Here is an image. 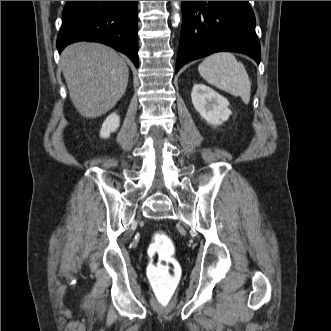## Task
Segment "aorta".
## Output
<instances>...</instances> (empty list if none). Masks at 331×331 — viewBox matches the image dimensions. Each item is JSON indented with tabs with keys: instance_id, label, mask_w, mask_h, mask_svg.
Here are the masks:
<instances>
[{
	"instance_id": "obj_1",
	"label": "aorta",
	"mask_w": 331,
	"mask_h": 331,
	"mask_svg": "<svg viewBox=\"0 0 331 331\" xmlns=\"http://www.w3.org/2000/svg\"><path fill=\"white\" fill-rule=\"evenodd\" d=\"M180 6H181V1H172V8H173L172 18H173V22H175V24H178L179 19H180L179 18Z\"/></svg>"
}]
</instances>
